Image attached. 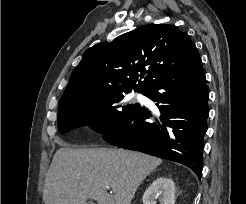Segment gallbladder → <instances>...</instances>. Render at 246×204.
<instances>
[{"mask_svg": "<svg viewBox=\"0 0 246 204\" xmlns=\"http://www.w3.org/2000/svg\"><path fill=\"white\" fill-rule=\"evenodd\" d=\"M85 204H94L92 201L86 202Z\"/></svg>", "mask_w": 246, "mask_h": 204, "instance_id": "bac80fb5", "label": "gallbladder"}]
</instances>
